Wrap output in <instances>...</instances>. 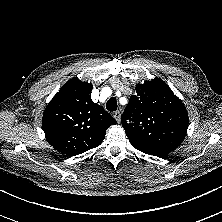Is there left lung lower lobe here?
Returning <instances> with one entry per match:
<instances>
[{"label":"left lung lower lobe","instance_id":"left-lung-lower-lobe-1","mask_svg":"<svg viewBox=\"0 0 222 222\" xmlns=\"http://www.w3.org/2000/svg\"><path fill=\"white\" fill-rule=\"evenodd\" d=\"M132 146L145 154H149V155H153L157 157H164L165 155L173 151V149H169V148H148V147H144L140 145H132Z\"/></svg>","mask_w":222,"mask_h":222}]
</instances>
